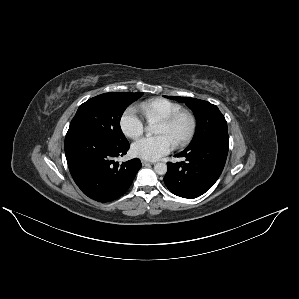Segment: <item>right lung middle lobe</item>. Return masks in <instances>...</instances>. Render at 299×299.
Listing matches in <instances>:
<instances>
[{"label": "right lung middle lobe", "mask_w": 299, "mask_h": 299, "mask_svg": "<svg viewBox=\"0 0 299 299\" xmlns=\"http://www.w3.org/2000/svg\"><path fill=\"white\" fill-rule=\"evenodd\" d=\"M143 93L111 92L98 95L84 102L72 119L67 135L95 133L115 143L127 142L120 119L124 110Z\"/></svg>", "instance_id": "right-lung-middle-lobe-1"}]
</instances>
